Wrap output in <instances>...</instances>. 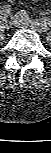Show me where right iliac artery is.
<instances>
[{
    "label": "right iliac artery",
    "instance_id": "right-iliac-artery-1",
    "mask_svg": "<svg viewBox=\"0 0 51 153\" xmlns=\"http://www.w3.org/2000/svg\"><path fill=\"white\" fill-rule=\"evenodd\" d=\"M10 11H11V8L9 5H4L1 7V9H0L1 16L0 17H1L2 21H5L7 19Z\"/></svg>",
    "mask_w": 51,
    "mask_h": 153
}]
</instances>
